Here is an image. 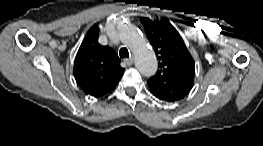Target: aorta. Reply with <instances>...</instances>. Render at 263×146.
<instances>
[{"mask_svg": "<svg viewBox=\"0 0 263 146\" xmlns=\"http://www.w3.org/2000/svg\"><path fill=\"white\" fill-rule=\"evenodd\" d=\"M120 37L123 43L134 52L139 72L145 76L153 75L157 70V59L139 29L128 25L120 32Z\"/></svg>", "mask_w": 263, "mask_h": 146, "instance_id": "762f6f07", "label": "aorta"}]
</instances>
